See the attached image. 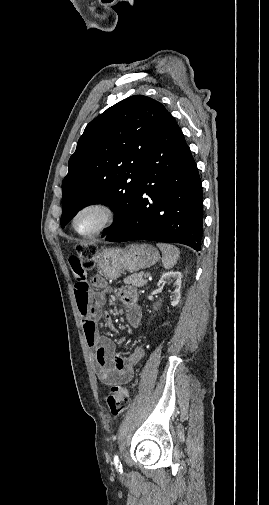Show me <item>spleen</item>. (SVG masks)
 I'll return each instance as SVG.
<instances>
[{"instance_id": "spleen-1", "label": "spleen", "mask_w": 269, "mask_h": 505, "mask_svg": "<svg viewBox=\"0 0 269 505\" xmlns=\"http://www.w3.org/2000/svg\"><path fill=\"white\" fill-rule=\"evenodd\" d=\"M157 247L162 252V263L164 268H172L179 259L180 250L176 246L166 243H157Z\"/></svg>"}]
</instances>
